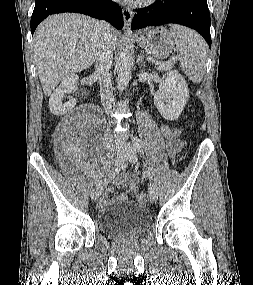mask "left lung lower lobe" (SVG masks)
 <instances>
[{
  "instance_id": "obj_1",
  "label": "left lung lower lobe",
  "mask_w": 253,
  "mask_h": 285,
  "mask_svg": "<svg viewBox=\"0 0 253 285\" xmlns=\"http://www.w3.org/2000/svg\"><path fill=\"white\" fill-rule=\"evenodd\" d=\"M167 23L181 24L199 32L211 47L210 13L207 0H162L141 8L134 15L132 29Z\"/></svg>"
}]
</instances>
